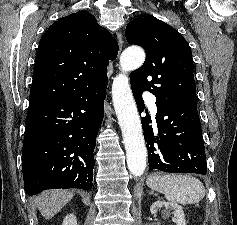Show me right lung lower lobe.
Masks as SVG:
<instances>
[{
    "instance_id": "98d812e1",
    "label": "right lung lower lobe",
    "mask_w": 237,
    "mask_h": 225,
    "mask_svg": "<svg viewBox=\"0 0 237 225\" xmlns=\"http://www.w3.org/2000/svg\"><path fill=\"white\" fill-rule=\"evenodd\" d=\"M107 83L73 96L31 105L22 149L24 188H92L96 136L104 117Z\"/></svg>"
}]
</instances>
